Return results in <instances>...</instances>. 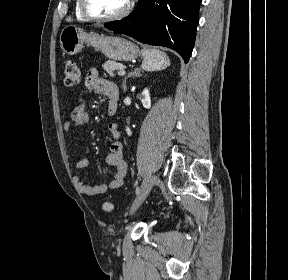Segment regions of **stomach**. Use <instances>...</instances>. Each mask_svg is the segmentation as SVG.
Returning a JSON list of instances; mask_svg holds the SVG:
<instances>
[{"label":"stomach","instance_id":"stomach-1","mask_svg":"<svg viewBox=\"0 0 288 280\" xmlns=\"http://www.w3.org/2000/svg\"><path fill=\"white\" fill-rule=\"evenodd\" d=\"M84 44L102 52L113 61H131L140 54L138 47L125 38L89 34L75 25H67L63 28L60 34V46L64 53L77 54Z\"/></svg>","mask_w":288,"mask_h":280}]
</instances>
